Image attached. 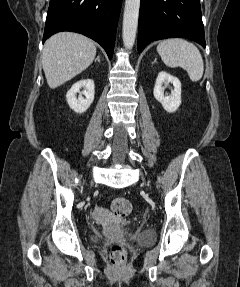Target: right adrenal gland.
Segmentation results:
<instances>
[{
  "mask_svg": "<svg viewBox=\"0 0 240 287\" xmlns=\"http://www.w3.org/2000/svg\"><path fill=\"white\" fill-rule=\"evenodd\" d=\"M98 61L100 62V56H98L96 59H95V62Z\"/></svg>",
  "mask_w": 240,
  "mask_h": 287,
  "instance_id": "1",
  "label": "right adrenal gland"
}]
</instances>
